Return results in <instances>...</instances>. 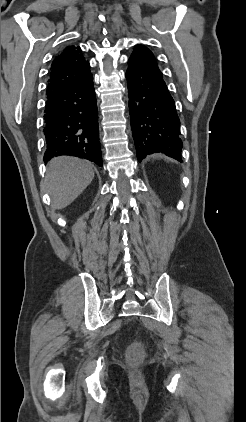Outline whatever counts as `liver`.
Returning a JSON list of instances; mask_svg holds the SVG:
<instances>
[{"instance_id": "obj_1", "label": "liver", "mask_w": 246, "mask_h": 422, "mask_svg": "<svg viewBox=\"0 0 246 422\" xmlns=\"http://www.w3.org/2000/svg\"><path fill=\"white\" fill-rule=\"evenodd\" d=\"M93 178V166L88 161L69 156L53 158L44 180V187L52 199V208L60 210L70 205Z\"/></svg>"}]
</instances>
